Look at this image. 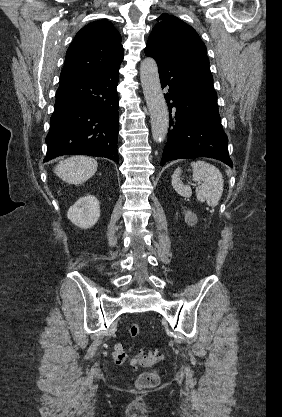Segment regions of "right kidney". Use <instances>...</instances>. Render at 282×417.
Wrapping results in <instances>:
<instances>
[{
	"instance_id": "right-kidney-1",
	"label": "right kidney",
	"mask_w": 282,
	"mask_h": 417,
	"mask_svg": "<svg viewBox=\"0 0 282 417\" xmlns=\"http://www.w3.org/2000/svg\"><path fill=\"white\" fill-rule=\"evenodd\" d=\"M67 217L73 225L80 229H90L96 225L100 217V204L98 198L93 194L80 196L70 209L67 211Z\"/></svg>"
}]
</instances>
